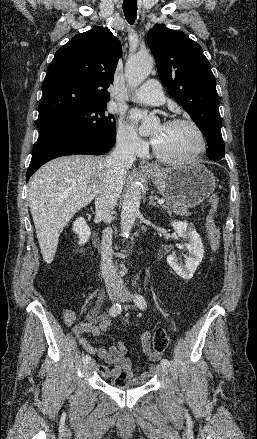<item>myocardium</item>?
<instances>
[{
    "label": "myocardium",
    "instance_id": "f54148a6",
    "mask_svg": "<svg viewBox=\"0 0 257 439\" xmlns=\"http://www.w3.org/2000/svg\"><path fill=\"white\" fill-rule=\"evenodd\" d=\"M181 124L189 125L194 129V131L197 134L198 140H199V147L197 148V150L194 153H192L190 155L182 156V157H174V156H169V155L163 153L156 145L155 140L152 139L153 152L158 159H160L164 162H168V163L187 164V163H192V162L196 161L206 151L207 142H206L205 135H204L202 129L199 127V125L197 123H195L193 120L186 119V118H174V119L167 120L166 122H164L163 125H181Z\"/></svg>",
    "mask_w": 257,
    "mask_h": 439
}]
</instances>
